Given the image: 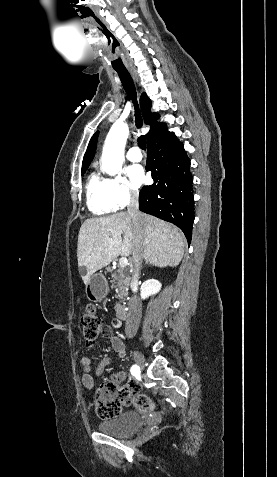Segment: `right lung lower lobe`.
I'll use <instances>...</instances> for the list:
<instances>
[{"label":"right lung lower lobe","mask_w":277,"mask_h":477,"mask_svg":"<svg viewBox=\"0 0 277 477\" xmlns=\"http://www.w3.org/2000/svg\"><path fill=\"white\" fill-rule=\"evenodd\" d=\"M146 170L154 184L143 187L139 209L178 226L188 243L192 238L194 196L190 159L173 132L147 144Z\"/></svg>","instance_id":"98d812e1"}]
</instances>
